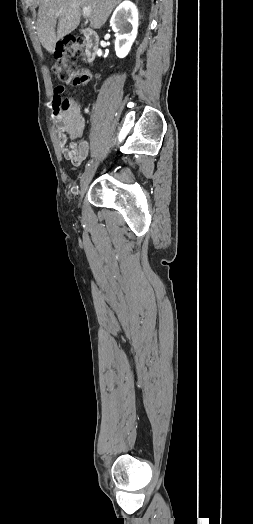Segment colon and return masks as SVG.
Listing matches in <instances>:
<instances>
[{
	"label": "colon",
	"mask_w": 253,
	"mask_h": 524,
	"mask_svg": "<svg viewBox=\"0 0 253 524\" xmlns=\"http://www.w3.org/2000/svg\"><path fill=\"white\" fill-rule=\"evenodd\" d=\"M86 40L77 35H67L56 45L53 72L58 79L66 84L78 85L80 90H89L91 81L86 69L81 68L78 60L82 57ZM72 101L68 98H59L53 104L54 114L60 116L68 110Z\"/></svg>",
	"instance_id": "colon-1"
}]
</instances>
